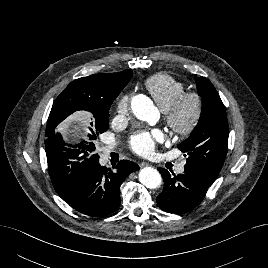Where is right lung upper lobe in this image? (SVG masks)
<instances>
[{
    "label": "right lung upper lobe",
    "instance_id": "1",
    "mask_svg": "<svg viewBox=\"0 0 268 268\" xmlns=\"http://www.w3.org/2000/svg\"><path fill=\"white\" fill-rule=\"evenodd\" d=\"M131 77L132 70L129 69L79 78L71 82L55 101L66 105L67 117L80 110L88 111L94 116L103 114L109 112L112 102L128 84ZM56 126L49 128L55 130ZM57 193L62 197L67 191L58 190Z\"/></svg>",
    "mask_w": 268,
    "mask_h": 268
}]
</instances>
